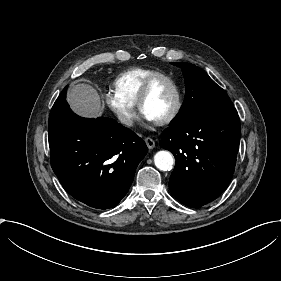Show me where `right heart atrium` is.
I'll use <instances>...</instances> for the list:
<instances>
[{
  "label": "right heart atrium",
  "instance_id": "1",
  "mask_svg": "<svg viewBox=\"0 0 281 281\" xmlns=\"http://www.w3.org/2000/svg\"><path fill=\"white\" fill-rule=\"evenodd\" d=\"M104 98L108 106L123 125L131 127L135 124L137 120V110L134 105H130L122 100L115 90L111 89L104 93Z\"/></svg>",
  "mask_w": 281,
  "mask_h": 281
}]
</instances>
